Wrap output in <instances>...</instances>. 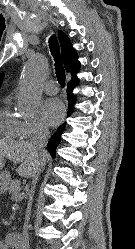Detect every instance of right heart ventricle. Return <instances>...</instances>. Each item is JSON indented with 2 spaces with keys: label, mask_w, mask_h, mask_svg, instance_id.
<instances>
[{
  "label": "right heart ventricle",
  "mask_w": 135,
  "mask_h": 249,
  "mask_svg": "<svg viewBox=\"0 0 135 249\" xmlns=\"http://www.w3.org/2000/svg\"><path fill=\"white\" fill-rule=\"evenodd\" d=\"M21 122L13 114L10 100H5L0 108V137L6 140H16L23 137Z\"/></svg>",
  "instance_id": "right-heart-ventricle-1"
}]
</instances>
